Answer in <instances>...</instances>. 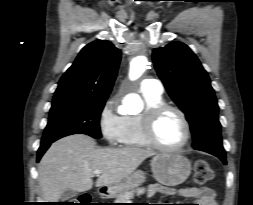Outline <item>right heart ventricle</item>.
<instances>
[{
  "mask_svg": "<svg viewBox=\"0 0 253 205\" xmlns=\"http://www.w3.org/2000/svg\"><path fill=\"white\" fill-rule=\"evenodd\" d=\"M146 102V109L165 103L162 95L142 93ZM145 111L137 115H126L123 117V132L120 143L124 147L149 148L142 130L143 116Z\"/></svg>",
  "mask_w": 253,
  "mask_h": 205,
  "instance_id": "right-heart-ventricle-1",
  "label": "right heart ventricle"
}]
</instances>
